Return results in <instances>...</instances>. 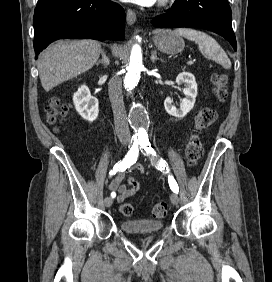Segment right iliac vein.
<instances>
[{
  "mask_svg": "<svg viewBox=\"0 0 272 282\" xmlns=\"http://www.w3.org/2000/svg\"><path fill=\"white\" fill-rule=\"evenodd\" d=\"M123 144L126 145L125 142H123ZM104 203L106 207H110L113 203V199L111 197H106Z\"/></svg>",
  "mask_w": 272,
  "mask_h": 282,
  "instance_id": "1",
  "label": "right iliac vein"
}]
</instances>
